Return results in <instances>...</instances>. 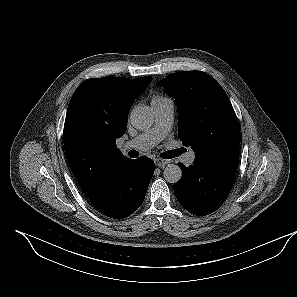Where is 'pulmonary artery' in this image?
<instances>
[{
	"label": "pulmonary artery",
	"instance_id": "obj_1",
	"mask_svg": "<svg viewBox=\"0 0 297 297\" xmlns=\"http://www.w3.org/2000/svg\"><path fill=\"white\" fill-rule=\"evenodd\" d=\"M151 107L155 114L154 126L139 134L134 139L123 144V150L136 149L148 150L157 145L171 130L174 119V103L170 98L164 97L151 101ZM195 160V151L190 150L183 158L186 164H192Z\"/></svg>",
	"mask_w": 297,
	"mask_h": 297
}]
</instances>
